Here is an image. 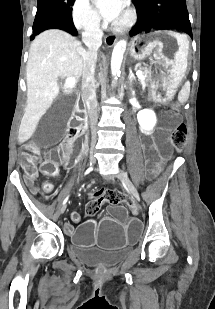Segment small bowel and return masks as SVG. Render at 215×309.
<instances>
[{"instance_id":"c3829d8e","label":"small bowel","mask_w":215,"mask_h":309,"mask_svg":"<svg viewBox=\"0 0 215 309\" xmlns=\"http://www.w3.org/2000/svg\"><path fill=\"white\" fill-rule=\"evenodd\" d=\"M130 207L132 208L133 212L135 213V210L137 209V205L133 201L130 204Z\"/></svg>"}]
</instances>
